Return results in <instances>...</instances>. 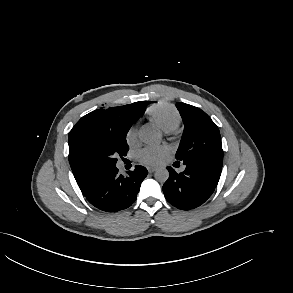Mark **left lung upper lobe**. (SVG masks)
I'll return each instance as SVG.
<instances>
[{"mask_svg": "<svg viewBox=\"0 0 293 293\" xmlns=\"http://www.w3.org/2000/svg\"><path fill=\"white\" fill-rule=\"evenodd\" d=\"M184 123V133L176 153L179 161L205 159L223 163V150L218 127L201 109L177 103Z\"/></svg>", "mask_w": 293, "mask_h": 293, "instance_id": "left-lung-upper-lobe-1", "label": "left lung upper lobe"}]
</instances>
